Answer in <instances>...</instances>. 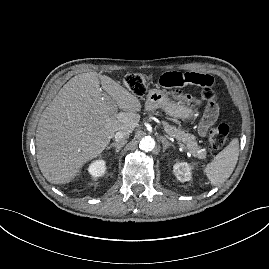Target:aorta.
Wrapping results in <instances>:
<instances>
[{
  "label": "aorta",
  "instance_id": "obj_1",
  "mask_svg": "<svg viewBox=\"0 0 269 269\" xmlns=\"http://www.w3.org/2000/svg\"><path fill=\"white\" fill-rule=\"evenodd\" d=\"M155 147V141L152 137L150 136H145L139 144V148L142 151L148 152V151H152Z\"/></svg>",
  "mask_w": 269,
  "mask_h": 269
}]
</instances>
